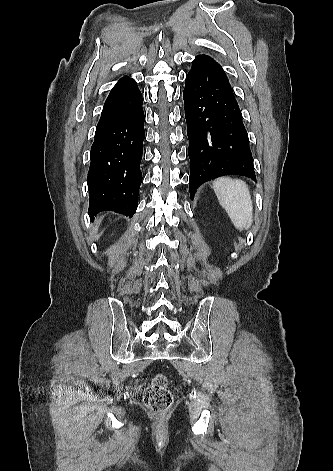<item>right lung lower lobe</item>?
I'll return each mask as SVG.
<instances>
[{
	"label": "right lung lower lobe",
	"mask_w": 333,
	"mask_h": 471,
	"mask_svg": "<svg viewBox=\"0 0 333 471\" xmlns=\"http://www.w3.org/2000/svg\"><path fill=\"white\" fill-rule=\"evenodd\" d=\"M144 112L134 79L117 82L105 101L90 152L88 214L112 210L132 217L142 182Z\"/></svg>",
	"instance_id": "right-lung-lower-lobe-1"
}]
</instances>
